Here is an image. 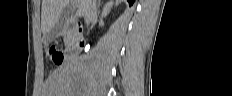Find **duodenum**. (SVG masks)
<instances>
[{"label":"duodenum","mask_w":232,"mask_h":96,"mask_svg":"<svg viewBox=\"0 0 232 96\" xmlns=\"http://www.w3.org/2000/svg\"><path fill=\"white\" fill-rule=\"evenodd\" d=\"M70 37L74 38V42L65 51L66 60H74L84 48V41L80 38L81 26L79 24L71 25L63 31Z\"/></svg>","instance_id":"410a0bca"}]
</instances>
